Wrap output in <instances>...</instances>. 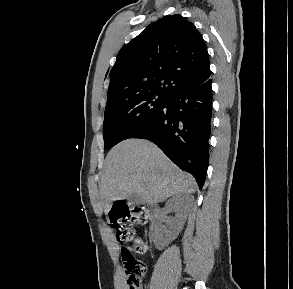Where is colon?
Returning <instances> with one entry per match:
<instances>
[{
	"mask_svg": "<svg viewBox=\"0 0 293 289\" xmlns=\"http://www.w3.org/2000/svg\"><path fill=\"white\" fill-rule=\"evenodd\" d=\"M147 213L143 206H127L115 204L110 214V222L117 240L122 243H132L129 248H122L121 255L125 265L127 289H141L146 274V265L135 258L134 253L143 255L147 251L146 243L134 236L133 224L146 221Z\"/></svg>",
	"mask_w": 293,
	"mask_h": 289,
	"instance_id": "colon-1",
	"label": "colon"
}]
</instances>
